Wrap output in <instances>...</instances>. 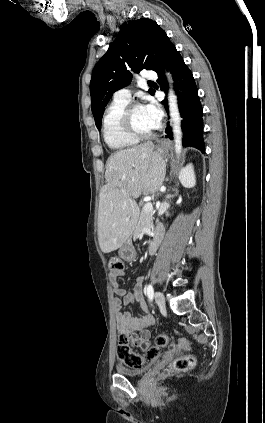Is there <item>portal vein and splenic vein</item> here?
Wrapping results in <instances>:
<instances>
[{
    "instance_id": "18ae733b",
    "label": "portal vein and splenic vein",
    "mask_w": 265,
    "mask_h": 423,
    "mask_svg": "<svg viewBox=\"0 0 265 423\" xmlns=\"http://www.w3.org/2000/svg\"><path fill=\"white\" fill-rule=\"evenodd\" d=\"M143 210L147 213H152L153 211V204L151 202H146L144 204Z\"/></svg>"
}]
</instances>
